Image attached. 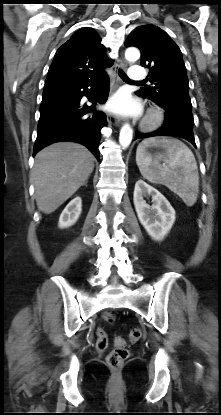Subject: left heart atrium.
I'll list each match as a JSON object with an SVG mask.
<instances>
[{
	"label": "left heart atrium",
	"instance_id": "left-heart-atrium-1",
	"mask_svg": "<svg viewBox=\"0 0 221 415\" xmlns=\"http://www.w3.org/2000/svg\"><path fill=\"white\" fill-rule=\"evenodd\" d=\"M108 109L119 115H138L141 108L126 91H120L108 103Z\"/></svg>",
	"mask_w": 221,
	"mask_h": 415
}]
</instances>
